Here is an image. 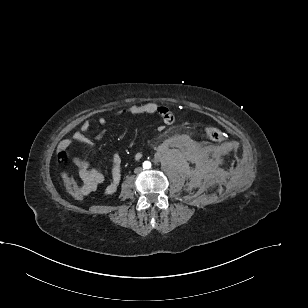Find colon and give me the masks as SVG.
I'll return each instance as SVG.
<instances>
[{"label":"colon","instance_id":"colon-1","mask_svg":"<svg viewBox=\"0 0 308 308\" xmlns=\"http://www.w3.org/2000/svg\"><path fill=\"white\" fill-rule=\"evenodd\" d=\"M204 130L207 137L213 141L221 142L225 139L224 133L214 126H206ZM58 157L60 160L64 161L68 158V153L62 150L59 152ZM64 182L67 191L77 200H82L84 196L89 193L82 186L78 185L70 174L65 177Z\"/></svg>","mask_w":308,"mask_h":308}]
</instances>
